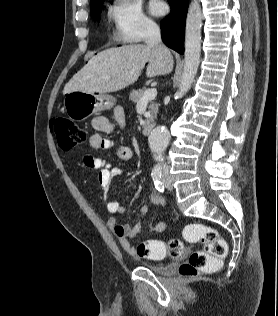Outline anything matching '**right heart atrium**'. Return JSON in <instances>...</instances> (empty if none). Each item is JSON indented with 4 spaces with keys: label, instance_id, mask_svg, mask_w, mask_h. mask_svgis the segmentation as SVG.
Here are the masks:
<instances>
[{
    "label": "right heart atrium",
    "instance_id": "d8ad5b80",
    "mask_svg": "<svg viewBox=\"0 0 278 316\" xmlns=\"http://www.w3.org/2000/svg\"><path fill=\"white\" fill-rule=\"evenodd\" d=\"M112 37L122 43L139 42L156 28L135 0H113L108 7Z\"/></svg>",
    "mask_w": 278,
    "mask_h": 316
}]
</instances>
